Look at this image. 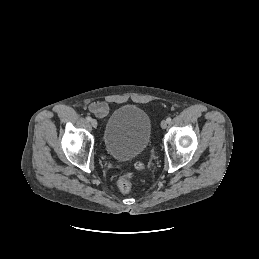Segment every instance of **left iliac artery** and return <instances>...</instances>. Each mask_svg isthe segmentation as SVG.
I'll use <instances>...</instances> for the list:
<instances>
[{
	"label": "left iliac artery",
	"instance_id": "obj_1",
	"mask_svg": "<svg viewBox=\"0 0 259 259\" xmlns=\"http://www.w3.org/2000/svg\"><path fill=\"white\" fill-rule=\"evenodd\" d=\"M166 121H167L168 123H170V122H171V118L168 117V118L166 119Z\"/></svg>",
	"mask_w": 259,
	"mask_h": 259
}]
</instances>
